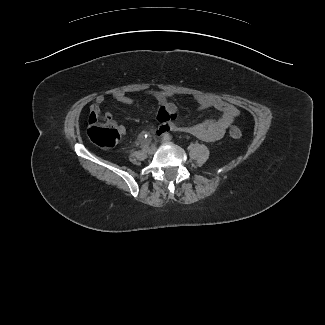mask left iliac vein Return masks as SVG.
Returning a JSON list of instances; mask_svg holds the SVG:
<instances>
[{
	"mask_svg": "<svg viewBox=\"0 0 325 325\" xmlns=\"http://www.w3.org/2000/svg\"><path fill=\"white\" fill-rule=\"evenodd\" d=\"M162 143H170V140L163 138Z\"/></svg>",
	"mask_w": 325,
	"mask_h": 325,
	"instance_id": "obj_1",
	"label": "left iliac vein"
}]
</instances>
